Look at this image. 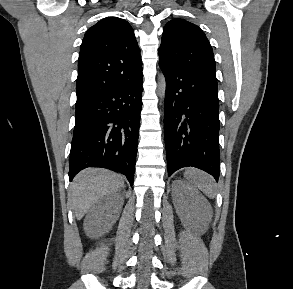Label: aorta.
Wrapping results in <instances>:
<instances>
[{
	"instance_id": "762f6f07",
	"label": "aorta",
	"mask_w": 293,
	"mask_h": 289,
	"mask_svg": "<svg viewBox=\"0 0 293 289\" xmlns=\"http://www.w3.org/2000/svg\"><path fill=\"white\" fill-rule=\"evenodd\" d=\"M165 91H166V80L163 74H160L158 76V95L161 98H164L165 96Z\"/></svg>"
}]
</instances>
